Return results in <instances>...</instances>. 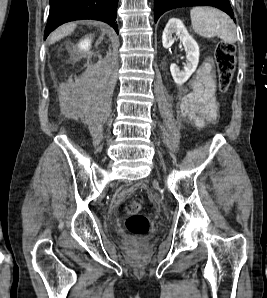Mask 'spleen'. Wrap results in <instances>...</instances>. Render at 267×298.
Wrapping results in <instances>:
<instances>
[{"mask_svg":"<svg viewBox=\"0 0 267 298\" xmlns=\"http://www.w3.org/2000/svg\"><path fill=\"white\" fill-rule=\"evenodd\" d=\"M194 32L202 37H219L225 43L237 41L233 20L224 12L207 6L193 7L190 11Z\"/></svg>","mask_w":267,"mask_h":298,"instance_id":"spleen-1","label":"spleen"}]
</instances>
